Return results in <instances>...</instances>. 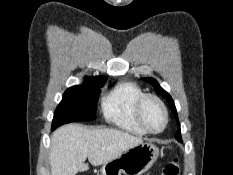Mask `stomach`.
Segmentation results:
<instances>
[{"label": "stomach", "instance_id": "stomach-1", "mask_svg": "<svg viewBox=\"0 0 233 175\" xmlns=\"http://www.w3.org/2000/svg\"><path fill=\"white\" fill-rule=\"evenodd\" d=\"M159 155L160 149L156 144L151 141L142 142L103 164L101 175H142L151 168Z\"/></svg>", "mask_w": 233, "mask_h": 175}]
</instances>
